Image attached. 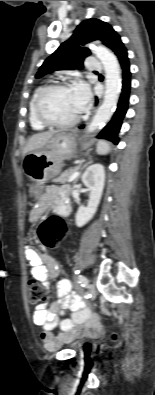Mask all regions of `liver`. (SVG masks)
I'll use <instances>...</instances> for the list:
<instances>
[{"label": "liver", "instance_id": "6515ba94", "mask_svg": "<svg viewBox=\"0 0 155 395\" xmlns=\"http://www.w3.org/2000/svg\"><path fill=\"white\" fill-rule=\"evenodd\" d=\"M55 134H56L55 131H48V132L37 133L31 136L24 148V157L28 153L41 149L44 146H46Z\"/></svg>", "mask_w": 155, "mask_h": 395}]
</instances>
